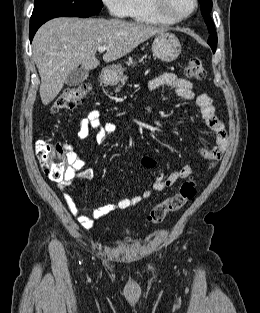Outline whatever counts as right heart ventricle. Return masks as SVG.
Segmentation results:
<instances>
[{"label": "right heart ventricle", "mask_w": 260, "mask_h": 313, "mask_svg": "<svg viewBox=\"0 0 260 313\" xmlns=\"http://www.w3.org/2000/svg\"><path fill=\"white\" fill-rule=\"evenodd\" d=\"M127 16L133 21L152 25H166L151 8V0H129Z\"/></svg>", "instance_id": "obj_1"}]
</instances>
